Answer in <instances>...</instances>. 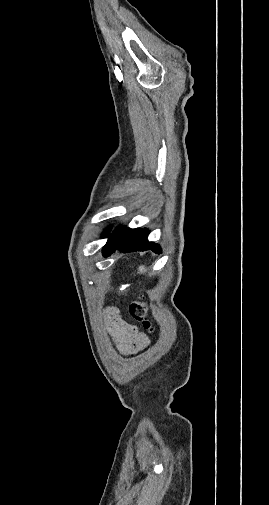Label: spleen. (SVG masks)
<instances>
[{
    "mask_svg": "<svg viewBox=\"0 0 269 505\" xmlns=\"http://www.w3.org/2000/svg\"><path fill=\"white\" fill-rule=\"evenodd\" d=\"M138 272L141 273V274L145 273L146 272V268L144 266H139Z\"/></svg>",
    "mask_w": 269,
    "mask_h": 505,
    "instance_id": "3e777b00",
    "label": "spleen"
}]
</instances>
